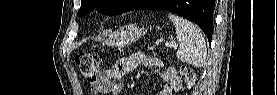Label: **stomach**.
I'll list each match as a JSON object with an SVG mask.
<instances>
[{
  "mask_svg": "<svg viewBox=\"0 0 277 95\" xmlns=\"http://www.w3.org/2000/svg\"><path fill=\"white\" fill-rule=\"evenodd\" d=\"M143 34L144 32L141 28L130 24L123 26L116 32H113L105 43L109 46L125 47L139 40Z\"/></svg>",
  "mask_w": 277,
  "mask_h": 95,
  "instance_id": "obj_1",
  "label": "stomach"
}]
</instances>
